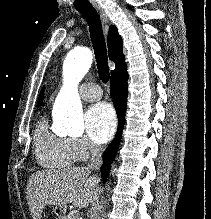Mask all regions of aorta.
Instances as JSON below:
<instances>
[{
	"label": "aorta",
	"mask_w": 211,
	"mask_h": 219,
	"mask_svg": "<svg viewBox=\"0 0 211 219\" xmlns=\"http://www.w3.org/2000/svg\"><path fill=\"white\" fill-rule=\"evenodd\" d=\"M92 64V52L86 47L72 49L63 63L64 85L55 104L54 116L63 125V133L79 137L84 132L82 105L77 85Z\"/></svg>",
	"instance_id": "aorta-1"
}]
</instances>
